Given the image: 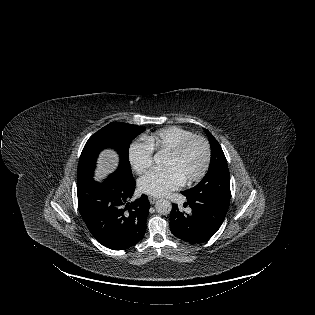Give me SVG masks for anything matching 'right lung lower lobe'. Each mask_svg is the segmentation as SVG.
<instances>
[{
  "label": "right lung lower lobe",
  "instance_id": "1",
  "mask_svg": "<svg viewBox=\"0 0 315 315\" xmlns=\"http://www.w3.org/2000/svg\"><path fill=\"white\" fill-rule=\"evenodd\" d=\"M134 190V179L115 173L103 183L92 177L77 180L81 216L93 237L107 248L126 249L145 234L150 204L146 195L129 202Z\"/></svg>",
  "mask_w": 315,
  "mask_h": 315
}]
</instances>
